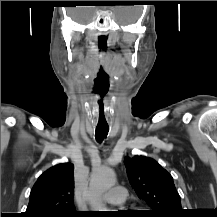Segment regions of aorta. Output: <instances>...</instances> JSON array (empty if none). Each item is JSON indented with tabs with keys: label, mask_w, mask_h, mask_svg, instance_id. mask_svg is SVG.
Returning <instances> with one entry per match:
<instances>
[{
	"label": "aorta",
	"mask_w": 217,
	"mask_h": 217,
	"mask_svg": "<svg viewBox=\"0 0 217 217\" xmlns=\"http://www.w3.org/2000/svg\"><path fill=\"white\" fill-rule=\"evenodd\" d=\"M115 182V174L111 168L100 167L93 170L86 193V198L93 211H108L102 204L101 197L104 192L114 186Z\"/></svg>",
	"instance_id": "1"
}]
</instances>
